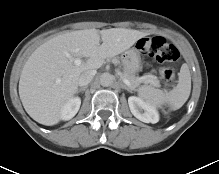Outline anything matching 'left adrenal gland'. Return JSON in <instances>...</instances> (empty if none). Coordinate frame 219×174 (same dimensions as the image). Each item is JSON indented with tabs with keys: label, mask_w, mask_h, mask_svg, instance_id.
<instances>
[{
	"label": "left adrenal gland",
	"mask_w": 219,
	"mask_h": 174,
	"mask_svg": "<svg viewBox=\"0 0 219 174\" xmlns=\"http://www.w3.org/2000/svg\"><path fill=\"white\" fill-rule=\"evenodd\" d=\"M122 88L132 93V89L127 87L124 83H122Z\"/></svg>",
	"instance_id": "a2214340"
}]
</instances>
